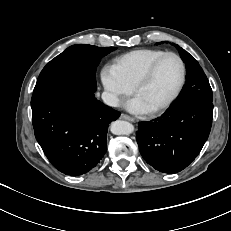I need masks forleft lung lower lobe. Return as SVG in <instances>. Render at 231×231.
Instances as JSON below:
<instances>
[{
  "label": "left lung lower lobe",
  "mask_w": 231,
  "mask_h": 231,
  "mask_svg": "<svg viewBox=\"0 0 231 231\" xmlns=\"http://www.w3.org/2000/svg\"><path fill=\"white\" fill-rule=\"evenodd\" d=\"M213 104L203 100L173 103L160 117L139 122L137 143L144 160L164 173H177L199 154L212 125Z\"/></svg>",
  "instance_id": "left-lung-lower-lobe-1"
}]
</instances>
